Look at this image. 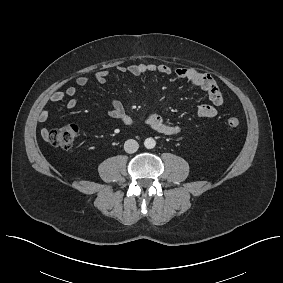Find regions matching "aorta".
I'll return each mask as SVG.
<instances>
[{
  "label": "aorta",
  "instance_id": "1",
  "mask_svg": "<svg viewBox=\"0 0 283 283\" xmlns=\"http://www.w3.org/2000/svg\"><path fill=\"white\" fill-rule=\"evenodd\" d=\"M155 145H156V141L153 138H147L144 141V146L147 149H153L155 147Z\"/></svg>",
  "mask_w": 283,
  "mask_h": 283
}]
</instances>
